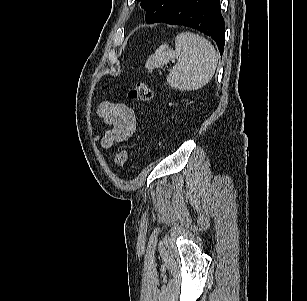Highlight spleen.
<instances>
[{
    "label": "spleen",
    "instance_id": "3e777b00",
    "mask_svg": "<svg viewBox=\"0 0 307 301\" xmlns=\"http://www.w3.org/2000/svg\"><path fill=\"white\" fill-rule=\"evenodd\" d=\"M171 59L177 64L167 76V83L183 91L198 90L213 77L218 56L214 46L204 37L195 33L182 32L175 38V50L163 44L151 55L145 67L149 72L165 65Z\"/></svg>",
    "mask_w": 307,
    "mask_h": 301
}]
</instances>
